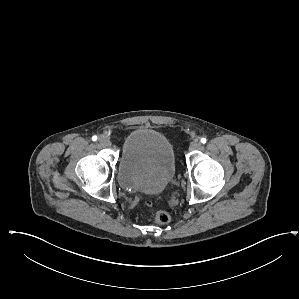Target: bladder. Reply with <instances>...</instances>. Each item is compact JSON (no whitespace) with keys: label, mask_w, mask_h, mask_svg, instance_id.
Masks as SVG:
<instances>
[{"label":"bladder","mask_w":299,"mask_h":299,"mask_svg":"<svg viewBox=\"0 0 299 299\" xmlns=\"http://www.w3.org/2000/svg\"><path fill=\"white\" fill-rule=\"evenodd\" d=\"M176 157L162 133L137 128L124 140L117 168L119 185L129 192L158 193L173 180Z\"/></svg>","instance_id":"31cf9c89"}]
</instances>
